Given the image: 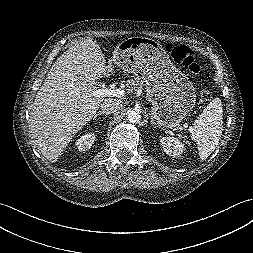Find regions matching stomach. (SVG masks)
Segmentation results:
<instances>
[{"mask_svg":"<svg viewBox=\"0 0 253 253\" xmlns=\"http://www.w3.org/2000/svg\"><path fill=\"white\" fill-rule=\"evenodd\" d=\"M113 59L121 69L143 79L152 117L159 126L177 127L193 109L192 82L173 65L158 41L131 37L117 45Z\"/></svg>","mask_w":253,"mask_h":253,"instance_id":"stomach-1","label":"stomach"}]
</instances>
